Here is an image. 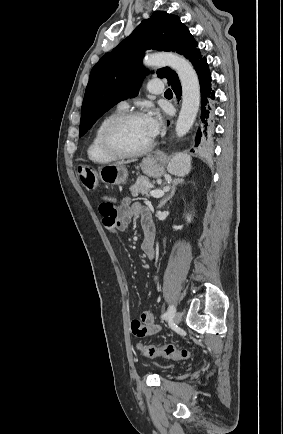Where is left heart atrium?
Listing matches in <instances>:
<instances>
[{
	"instance_id": "left-heart-atrium-1",
	"label": "left heart atrium",
	"mask_w": 283,
	"mask_h": 434,
	"mask_svg": "<svg viewBox=\"0 0 283 434\" xmlns=\"http://www.w3.org/2000/svg\"><path fill=\"white\" fill-rule=\"evenodd\" d=\"M145 125L151 138H154L161 128V117L157 111H151L144 116Z\"/></svg>"
}]
</instances>
